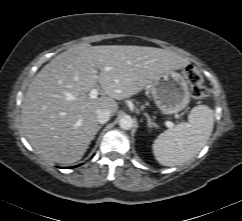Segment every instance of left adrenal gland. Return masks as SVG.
Instances as JSON below:
<instances>
[{
  "label": "left adrenal gland",
  "mask_w": 242,
  "mask_h": 221,
  "mask_svg": "<svg viewBox=\"0 0 242 221\" xmlns=\"http://www.w3.org/2000/svg\"><path fill=\"white\" fill-rule=\"evenodd\" d=\"M144 115L146 116L147 118V125L149 128H152V127H157L156 123H154L152 121V119L150 118V116L147 114V113H144Z\"/></svg>",
  "instance_id": "1"
}]
</instances>
